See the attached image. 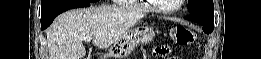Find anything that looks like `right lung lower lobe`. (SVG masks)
<instances>
[{
    "mask_svg": "<svg viewBox=\"0 0 261 59\" xmlns=\"http://www.w3.org/2000/svg\"><path fill=\"white\" fill-rule=\"evenodd\" d=\"M89 6H90V2L83 1V0H76V1L65 3L49 11L47 14L41 16V30H44L47 27H49L50 24L53 22V20L64 11L73 8H81V7H89Z\"/></svg>",
    "mask_w": 261,
    "mask_h": 59,
    "instance_id": "98d812e1",
    "label": "right lung lower lobe"
}]
</instances>
